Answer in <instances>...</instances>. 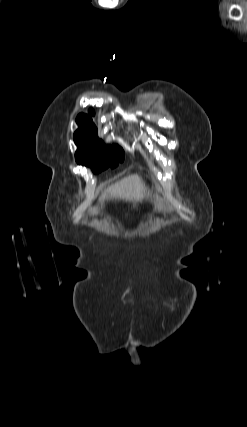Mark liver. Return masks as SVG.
I'll use <instances>...</instances> for the list:
<instances>
[{
	"mask_svg": "<svg viewBox=\"0 0 247 427\" xmlns=\"http://www.w3.org/2000/svg\"><path fill=\"white\" fill-rule=\"evenodd\" d=\"M153 197L156 208L161 209L162 200L157 194ZM113 199L137 203L144 199H152V192L138 174H132L106 188L99 197V202L102 204L105 200Z\"/></svg>",
	"mask_w": 247,
	"mask_h": 427,
	"instance_id": "6515ba94",
	"label": "liver"
}]
</instances>
